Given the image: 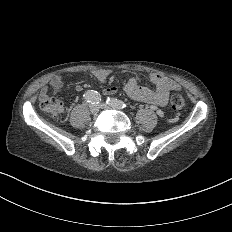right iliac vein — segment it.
I'll return each instance as SVG.
<instances>
[{
    "instance_id": "63e3f726",
    "label": "right iliac vein",
    "mask_w": 232,
    "mask_h": 232,
    "mask_svg": "<svg viewBox=\"0 0 232 232\" xmlns=\"http://www.w3.org/2000/svg\"><path fill=\"white\" fill-rule=\"evenodd\" d=\"M100 110V107L98 104L96 103H93V104H90L89 105V111L92 113V114H97Z\"/></svg>"
}]
</instances>
